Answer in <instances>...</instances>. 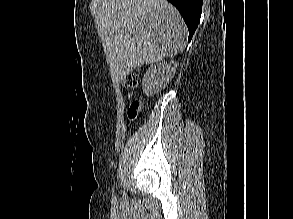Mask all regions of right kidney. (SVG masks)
Returning <instances> with one entry per match:
<instances>
[{
  "label": "right kidney",
  "instance_id": "right-kidney-1",
  "mask_svg": "<svg viewBox=\"0 0 293 219\" xmlns=\"http://www.w3.org/2000/svg\"><path fill=\"white\" fill-rule=\"evenodd\" d=\"M177 67L178 63L174 61L152 65L144 75L143 92L147 96L159 93L169 83Z\"/></svg>",
  "mask_w": 293,
  "mask_h": 219
}]
</instances>
